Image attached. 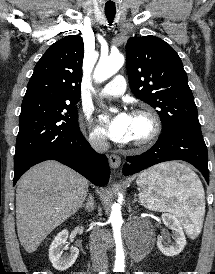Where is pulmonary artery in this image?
<instances>
[{"mask_svg": "<svg viewBox=\"0 0 215 274\" xmlns=\"http://www.w3.org/2000/svg\"><path fill=\"white\" fill-rule=\"evenodd\" d=\"M125 89V78L122 75H117L101 89V94L104 96H119L125 92Z\"/></svg>", "mask_w": 215, "mask_h": 274, "instance_id": "e3ab8cb5", "label": "pulmonary artery"}]
</instances>
